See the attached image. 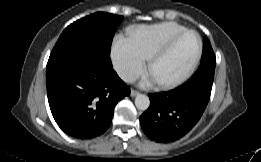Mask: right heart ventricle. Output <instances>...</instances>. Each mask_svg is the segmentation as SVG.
Masks as SVG:
<instances>
[{"mask_svg":"<svg viewBox=\"0 0 261 162\" xmlns=\"http://www.w3.org/2000/svg\"><path fill=\"white\" fill-rule=\"evenodd\" d=\"M186 28L175 22H162L133 27L128 39L135 51L143 58L148 57L174 34Z\"/></svg>","mask_w":261,"mask_h":162,"instance_id":"obj_1","label":"right heart ventricle"}]
</instances>
